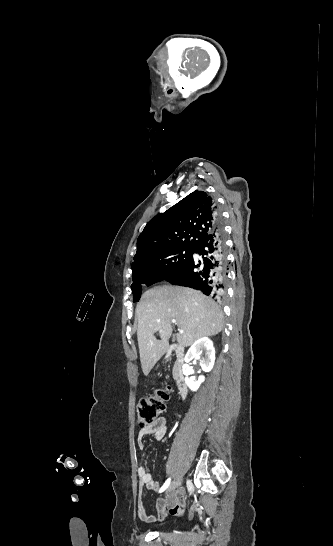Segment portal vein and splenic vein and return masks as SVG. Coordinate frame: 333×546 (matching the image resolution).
Masks as SVG:
<instances>
[{
    "instance_id": "obj_1",
    "label": "portal vein and splenic vein",
    "mask_w": 333,
    "mask_h": 546,
    "mask_svg": "<svg viewBox=\"0 0 333 546\" xmlns=\"http://www.w3.org/2000/svg\"><path fill=\"white\" fill-rule=\"evenodd\" d=\"M172 323H176V320H175V319H173V320H172ZM179 333H180V334H183V333H184V331H183V330H181V329H179Z\"/></svg>"
}]
</instances>
